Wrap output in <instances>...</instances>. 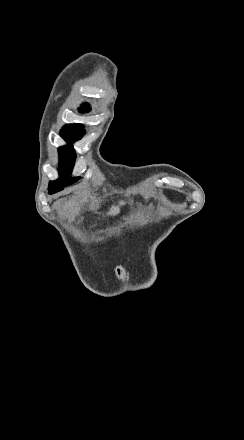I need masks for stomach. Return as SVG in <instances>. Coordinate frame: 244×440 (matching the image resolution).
Wrapping results in <instances>:
<instances>
[{
    "mask_svg": "<svg viewBox=\"0 0 244 440\" xmlns=\"http://www.w3.org/2000/svg\"><path fill=\"white\" fill-rule=\"evenodd\" d=\"M136 216H139V210H134V212H131L129 220H133V218H136Z\"/></svg>",
    "mask_w": 244,
    "mask_h": 440,
    "instance_id": "0dacf381",
    "label": "stomach"
}]
</instances>
